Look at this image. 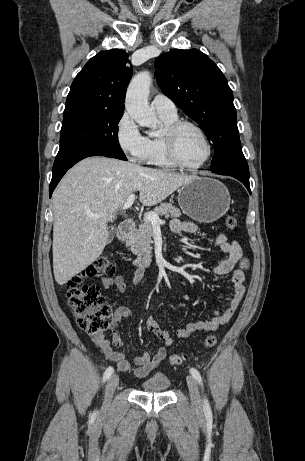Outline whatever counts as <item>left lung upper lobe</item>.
Listing matches in <instances>:
<instances>
[{
  "instance_id": "left-lung-upper-lobe-1",
  "label": "left lung upper lobe",
  "mask_w": 305,
  "mask_h": 461,
  "mask_svg": "<svg viewBox=\"0 0 305 461\" xmlns=\"http://www.w3.org/2000/svg\"><path fill=\"white\" fill-rule=\"evenodd\" d=\"M155 67L162 92L196 121L213 143L211 171L249 175L233 93L217 65L197 49H173L159 56Z\"/></svg>"
}]
</instances>
